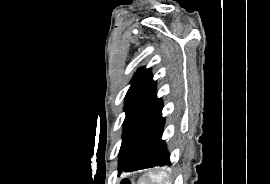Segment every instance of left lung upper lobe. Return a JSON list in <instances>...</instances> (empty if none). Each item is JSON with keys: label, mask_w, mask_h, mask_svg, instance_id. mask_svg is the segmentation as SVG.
<instances>
[{"label": "left lung upper lobe", "mask_w": 270, "mask_h": 184, "mask_svg": "<svg viewBox=\"0 0 270 184\" xmlns=\"http://www.w3.org/2000/svg\"><path fill=\"white\" fill-rule=\"evenodd\" d=\"M162 105V99L157 98L156 82L152 79L150 69H139L131 80V86L125 97L126 117L119 152V167Z\"/></svg>", "instance_id": "1"}]
</instances>
